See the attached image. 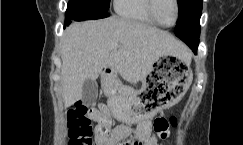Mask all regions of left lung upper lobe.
I'll list each match as a JSON object with an SVG mask.
<instances>
[{
    "mask_svg": "<svg viewBox=\"0 0 243 145\" xmlns=\"http://www.w3.org/2000/svg\"><path fill=\"white\" fill-rule=\"evenodd\" d=\"M177 2L179 18L186 17L190 23L199 25L203 0H177ZM178 32L181 31L175 28L176 35Z\"/></svg>",
    "mask_w": 243,
    "mask_h": 145,
    "instance_id": "1",
    "label": "left lung upper lobe"
}]
</instances>
